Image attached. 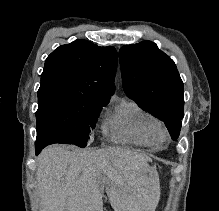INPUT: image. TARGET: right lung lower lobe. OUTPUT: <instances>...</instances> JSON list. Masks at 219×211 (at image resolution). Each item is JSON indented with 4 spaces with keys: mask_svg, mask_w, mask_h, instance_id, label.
<instances>
[{
    "mask_svg": "<svg viewBox=\"0 0 219 211\" xmlns=\"http://www.w3.org/2000/svg\"><path fill=\"white\" fill-rule=\"evenodd\" d=\"M62 141L61 140H58V139H42V140H38L36 139V144H35V147H36V155H38L40 153V151L45 148L46 146L50 145V144H53V143H61Z\"/></svg>",
    "mask_w": 219,
    "mask_h": 211,
    "instance_id": "right-lung-lower-lobe-1",
    "label": "right lung lower lobe"
}]
</instances>
